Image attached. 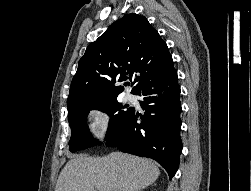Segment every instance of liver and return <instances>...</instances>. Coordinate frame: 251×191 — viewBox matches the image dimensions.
<instances>
[{"label":"liver","instance_id":"6515ba94","mask_svg":"<svg viewBox=\"0 0 251 191\" xmlns=\"http://www.w3.org/2000/svg\"><path fill=\"white\" fill-rule=\"evenodd\" d=\"M159 173L150 159L121 151L105 157L73 155L63 167L55 191H139Z\"/></svg>","mask_w":251,"mask_h":191}]
</instances>
